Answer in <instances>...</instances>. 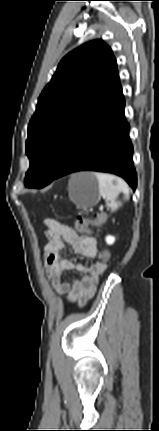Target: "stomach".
I'll use <instances>...</instances> for the list:
<instances>
[{"label":"stomach","mask_w":159,"mask_h":431,"mask_svg":"<svg viewBox=\"0 0 159 431\" xmlns=\"http://www.w3.org/2000/svg\"><path fill=\"white\" fill-rule=\"evenodd\" d=\"M71 200L81 208L94 206L100 199L99 184L92 172H81L71 177L69 185Z\"/></svg>","instance_id":"obj_1"}]
</instances>
